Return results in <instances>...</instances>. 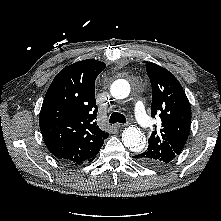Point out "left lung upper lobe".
Wrapping results in <instances>:
<instances>
[{
	"label": "left lung upper lobe",
	"mask_w": 221,
	"mask_h": 221,
	"mask_svg": "<svg viewBox=\"0 0 221 221\" xmlns=\"http://www.w3.org/2000/svg\"><path fill=\"white\" fill-rule=\"evenodd\" d=\"M145 63L152 86L151 115L159 114L161 126L155 128L148 148L138 156L143 164L161 166L181 153L190 131L191 107L172 73L155 63Z\"/></svg>",
	"instance_id": "obj_1"
}]
</instances>
